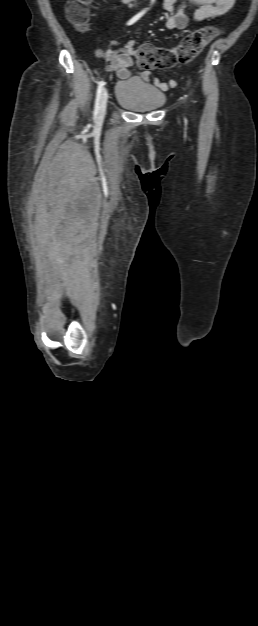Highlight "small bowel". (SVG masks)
<instances>
[{
	"instance_id": "obj_1",
	"label": "small bowel",
	"mask_w": 258,
	"mask_h": 626,
	"mask_svg": "<svg viewBox=\"0 0 258 626\" xmlns=\"http://www.w3.org/2000/svg\"><path fill=\"white\" fill-rule=\"evenodd\" d=\"M234 3L235 0H164L163 8L167 13L166 27L171 30L183 31L191 21L200 22L224 15L234 6ZM188 7L195 8L192 17H189L185 12ZM103 56L108 63L109 71L116 72L121 79L128 77L131 59L126 50L108 48ZM141 76L144 81L152 80L155 86L162 91L177 86L175 80L163 82L154 78L148 71L143 72Z\"/></svg>"
}]
</instances>
